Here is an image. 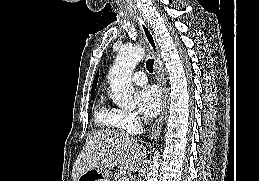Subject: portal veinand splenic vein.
I'll return each mask as SVG.
<instances>
[{
  "mask_svg": "<svg viewBox=\"0 0 259 181\" xmlns=\"http://www.w3.org/2000/svg\"><path fill=\"white\" fill-rule=\"evenodd\" d=\"M120 181H129V179L127 177H122Z\"/></svg>",
  "mask_w": 259,
  "mask_h": 181,
  "instance_id": "18ae733b",
  "label": "portal vein and splenic vein"
}]
</instances>
